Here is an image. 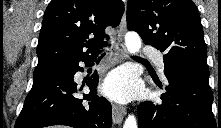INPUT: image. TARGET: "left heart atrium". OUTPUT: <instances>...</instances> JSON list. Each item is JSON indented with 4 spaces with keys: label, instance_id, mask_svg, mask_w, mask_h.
I'll list each match as a JSON object with an SVG mask.
<instances>
[{
    "label": "left heart atrium",
    "instance_id": "left-heart-atrium-1",
    "mask_svg": "<svg viewBox=\"0 0 221 128\" xmlns=\"http://www.w3.org/2000/svg\"><path fill=\"white\" fill-rule=\"evenodd\" d=\"M136 77L125 69L113 71L102 86L104 95L120 103L131 100L138 89Z\"/></svg>",
    "mask_w": 221,
    "mask_h": 128
}]
</instances>
